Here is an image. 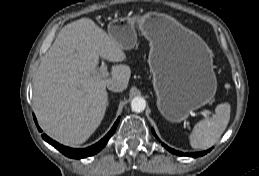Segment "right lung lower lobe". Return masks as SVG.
Instances as JSON below:
<instances>
[{"label": "right lung lower lobe", "mask_w": 259, "mask_h": 176, "mask_svg": "<svg viewBox=\"0 0 259 176\" xmlns=\"http://www.w3.org/2000/svg\"><path fill=\"white\" fill-rule=\"evenodd\" d=\"M34 120L36 122L35 116H34ZM118 122H119V119L115 122L112 129L109 131V133L102 140H100L98 143L94 144L93 146H90V147L85 148V149H72V148L62 146V145L58 144L57 142L53 141L52 139H50L45 134H43L42 137H43L44 140H46L48 143L53 145L60 152H62L64 155H66L70 158H84V157L96 154L106 145L109 138L115 132V129L117 127ZM36 124H37V122H36ZM38 129H39V131H41V129L39 127H38Z\"/></svg>", "instance_id": "1"}]
</instances>
